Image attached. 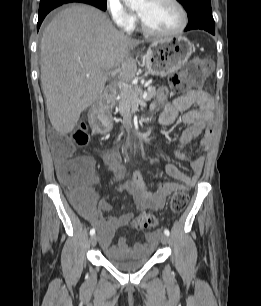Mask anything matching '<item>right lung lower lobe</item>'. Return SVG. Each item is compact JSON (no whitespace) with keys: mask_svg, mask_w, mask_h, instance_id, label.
<instances>
[{"mask_svg":"<svg viewBox=\"0 0 261 306\" xmlns=\"http://www.w3.org/2000/svg\"><path fill=\"white\" fill-rule=\"evenodd\" d=\"M70 2H73V1H71V0H49V1H45V2H40L39 12H38L39 18H38V23H37V29L39 30L42 21L44 20L45 16L51 10H53L54 8H56V7H58L62 4L70 3ZM83 3H87V2H83ZM88 4H90V3H88Z\"/></svg>","mask_w":261,"mask_h":306,"instance_id":"obj_1","label":"right lung lower lobe"}]
</instances>
